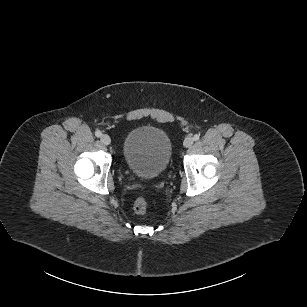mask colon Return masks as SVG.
I'll return each mask as SVG.
<instances>
[{"mask_svg": "<svg viewBox=\"0 0 307 307\" xmlns=\"http://www.w3.org/2000/svg\"><path fill=\"white\" fill-rule=\"evenodd\" d=\"M150 208L149 201L144 197H139L134 203V210L138 214L146 213Z\"/></svg>", "mask_w": 307, "mask_h": 307, "instance_id": "1", "label": "colon"}]
</instances>
